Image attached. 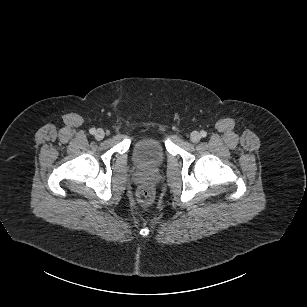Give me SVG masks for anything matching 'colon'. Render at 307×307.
I'll return each instance as SVG.
<instances>
[{
    "mask_svg": "<svg viewBox=\"0 0 307 307\" xmlns=\"http://www.w3.org/2000/svg\"><path fill=\"white\" fill-rule=\"evenodd\" d=\"M138 198L143 205L149 206L154 202V193L151 188L143 187L138 193Z\"/></svg>",
    "mask_w": 307,
    "mask_h": 307,
    "instance_id": "5ec220e1",
    "label": "colon"
}]
</instances>
